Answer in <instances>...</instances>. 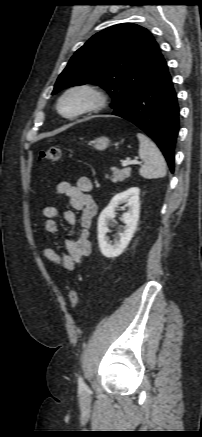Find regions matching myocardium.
<instances>
[{
  "label": "myocardium",
  "instance_id": "1",
  "mask_svg": "<svg viewBox=\"0 0 202 437\" xmlns=\"http://www.w3.org/2000/svg\"><path fill=\"white\" fill-rule=\"evenodd\" d=\"M81 93L85 95L88 99L87 103L78 111L72 113V114H66L62 110V104L64 100L69 97L70 95ZM107 103L106 95L96 86L82 83V84H76L68 89H66L61 96L59 97L57 101V111L58 113L69 120H76L78 118H81L83 116L95 113L100 111Z\"/></svg>",
  "mask_w": 202,
  "mask_h": 437
}]
</instances>
